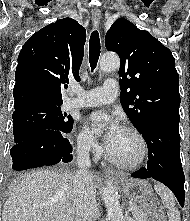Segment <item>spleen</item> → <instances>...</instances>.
Here are the masks:
<instances>
[{
  "mask_svg": "<svg viewBox=\"0 0 190 221\" xmlns=\"http://www.w3.org/2000/svg\"><path fill=\"white\" fill-rule=\"evenodd\" d=\"M154 189L160 196L164 206L168 208L167 215L169 221H181L180 212L175 206V197L172 192L159 183L154 186Z\"/></svg>",
  "mask_w": 190,
  "mask_h": 221,
  "instance_id": "obj_1",
  "label": "spleen"
}]
</instances>
